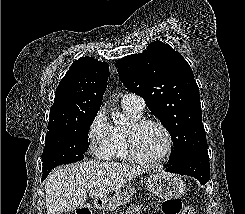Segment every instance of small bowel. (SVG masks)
Listing matches in <instances>:
<instances>
[{
  "instance_id": "small-bowel-1",
  "label": "small bowel",
  "mask_w": 245,
  "mask_h": 214,
  "mask_svg": "<svg viewBox=\"0 0 245 214\" xmlns=\"http://www.w3.org/2000/svg\"><path fill=\"white\" fill-rule=\"evenodd\" d=\"M126 214H140V208L137 205H133L129 207Z\"/></svg>"
}]
</instances>
